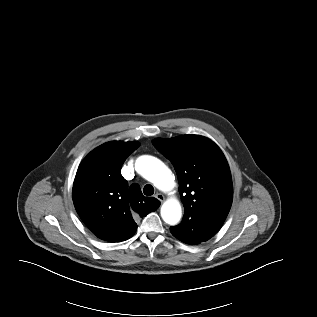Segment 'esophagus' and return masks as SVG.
<instances>
[{
    "label": "esophagus",
    "instance_id": "1",
    "mask_svg": "<svg viewBox=\"0 0 317 317\" xmlns=\"http://www.w3.org/2000/svg\"><path fill=\"white\" fill-rule=\"evenodd\" d=\"M155 198H157L160 202H163L165 197L161 193H157L155 195Z\"/></svg>",
    "mask_w": 317,
    "mask_h": 317
}]
</instances>
